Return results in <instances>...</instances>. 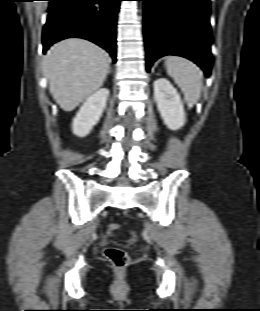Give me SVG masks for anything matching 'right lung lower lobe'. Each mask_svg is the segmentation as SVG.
<instances>
[{"label": "right lung lower lobe", "mask_w": 260, "mask_h": 311, "mask_svg": "<svg viewBox=\"0 0 260 311\" xmlns=\"http://www.w3.org/2000/svg\"><path fill=\"white\" fill-rule=\"evenodd\" d=\"M43 53L69 37L84 38L107 50L116 62L117 13L122 0H48Z\"/></svg>", "instance_id": "right-lung-lower-lobe-1"}]
</instances>
